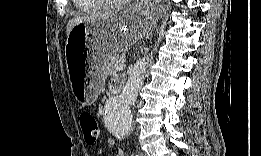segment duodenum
<instances>
[{"instance_id": "1", "label": "duodenum", "mask_w": 261, "mask_h": 156, "mask_svg": "<svg viewBox=\"0 0 261 156\" xmlns=\"http://www.w3.org/2000/svg\"><path fill=\"white\" fill-rule=\"evenodd\" d=\"M110 95H111V96H115V95H116V90L110 91Z\"/></svg>"}]
</instances>
